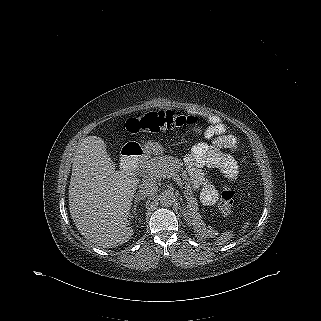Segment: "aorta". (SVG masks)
Returning <instances> with one entry per match:
<instances>
[{
  "instance_id": "obj_1",
  "label": "aorta",
  "mask_w": 321,
  "mask_h": 321,
  "mask_svg": "<svg viewBox=\"0 0 321 321\" xmlns=\"http://www.w3.org/2000/svg\"><path fill=\"white\" fill-rule=\"evenodd\" d=\"M159 200L163 206L170 207L175 203L176 197L172 191L165 190L159 195Z\"/></svg>"
}]
</instances>
